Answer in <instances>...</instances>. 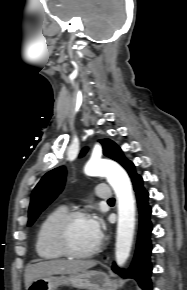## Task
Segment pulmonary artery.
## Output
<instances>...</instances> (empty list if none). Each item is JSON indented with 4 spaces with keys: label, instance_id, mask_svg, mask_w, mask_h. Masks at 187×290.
<instances>
[{
    "label": "pulmonary artery",
    "instance_id": "obj_1",
    "mask_svg": "<svg viewBox=\"0 0 187 290\" xmlns=\"http://www.w3.org/2000/svg\"><path fill=\"white\" fill-rule=\"evenodd\" d=\"M95 193L99 199H102L105 201H109L112 198V191L109 188L102 185L96 188Z\"/></svg>",
    "mask_w": 187,
    "mask_h": 290
}]
</instances>
